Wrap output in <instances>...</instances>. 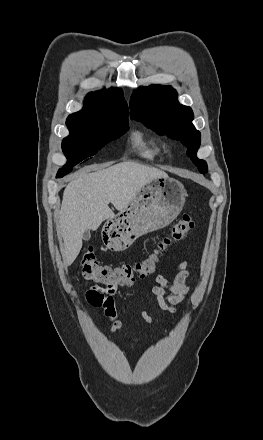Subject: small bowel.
<instances>
[{"mask_svg": "<svg viewBox=\"0 0 263 440\" xmlns=\"http://www.w3.org/2000/svg\"><path fill=\"white\" fill-rule=\"evenodd\" d=\"M189 270L187 263H181L175 270L172 282L162 275L155 278V285L152 287V294L155 297L159 307L170 314L175 312L174 305L183 302L189 291L190 286L187 282ZM117 288H108L105 286H90L84 293L85 300L93 307L103 308L105 316L110 321L111 332H116L121 328V321L117 318L120 306L114 295ZM143 318L147 322H152V318L143 313Z\"/></svg>", "mask_w": 263, "mask_h": 440, "instance_id": "1", "label": "small bowel"}]
</instances>
